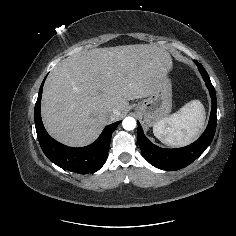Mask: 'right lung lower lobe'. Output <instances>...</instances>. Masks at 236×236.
Segmentation results:
<instances>
[{"instance_id": "right-lung-lower-lobe-1", "label": "right lung lower lobe", "mask_w": 236, "mask_h": 236, "mask_svg": "<svg viewBox=\"0 0 236 236\" xmlns=\"http://www.w3.org/2000/svg\"><path fill=\"white\" fill-rule=\"evenodd\" d=\"M44 81L40 87L35 104V127L44 154L54 164L65 170L78 174L96 172L106 162L112 133L119 125L120 121L106 126L99 138L89 146L72 148L57 142L46 132L40 115V103Z\"/></svg>"}]
</instances>
